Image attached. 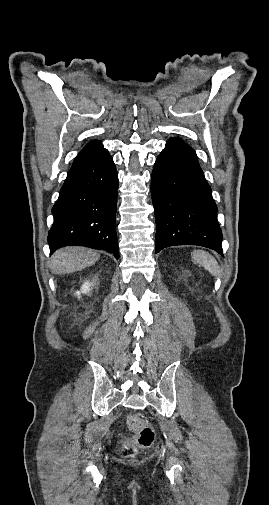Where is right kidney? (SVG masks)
<instances>
[{
	"label": "right kidney",
	"instance_id": "1",
	"mask_svg": "<svg viewBox=\"0 0 269 505\" xmlns=\"http://www.w3.org/2000/svg\"><path fill=\"white\" fill-rule=\"evenodd\" d=\"M91 286H92V283H91V282H89V281H86V282L82 285V287H81V292H79V291H78V292H76V295H78V297H79L81 293H85V294L89 293V292H90V290H91Z\"/></svg>",
	"mask_w": 269,
	"mask_h": 505
}]
</instances>
